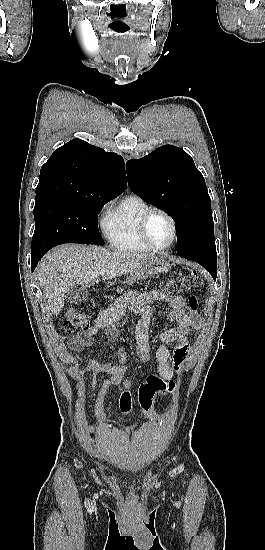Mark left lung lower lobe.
<instances>
[{
    "mask_svg": "<svg viewBox=\"0 0 265 550\" xmlns=\"http://www.w3.org/2000/svg\"><path fill=\"white\" fill-rule=\"evenodd\" d=\"M183 258L196 261L198 264L202 265L214 279L217 276V256L214 251L210 249H205L193 254L186 255Z\"/></svg>",
    "mask_w": 265,
    "mask_h": 550,
    "instance_id": "0a47b994",
    "label": "left lung lower lobe"
}]
</instances>
